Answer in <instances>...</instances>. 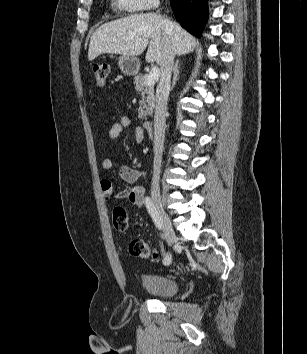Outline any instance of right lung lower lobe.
I'll use <instances>...</instances> for the list:
<instances>
[{"label": "right lung lower lobe", "mask_w": 307, "mask_h": 354, "mask_svg": "<svg viewBox=\"0 0 307 354\" xmlns=\"http://www.w3.org/2000/svg\"><path fill=\"white\" fill-rule=\"evenodd\" d=\"M176 19L191 34L200 37L208 18V0H170Z\"/></svg>", "instance_id": "1"}]
</instances>
